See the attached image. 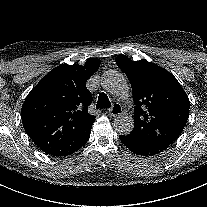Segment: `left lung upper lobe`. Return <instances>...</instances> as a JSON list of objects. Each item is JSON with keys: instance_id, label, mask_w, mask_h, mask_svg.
Returning a JSON list of instances; mask_svg holds the SVG:
<instances>
[{"instance_id": "left-lung-upper-lobe-1", "label": "left lung upper lobe", "mask_w": 207, "mask_h": 207, "mask_svg": "<svg viewBox=\"0 0 207 207\" xmlns=\"http://www.w3.org/2000/svg\"><path fill=\"white\" fill-rule=\"evenodd\" d=\"M128 77L134 99L135 125L127 136L132 141L163 151L181 134L189 116L190 101L177 79L146 60L116 57Z\"/></svg>"}]
</instances>
